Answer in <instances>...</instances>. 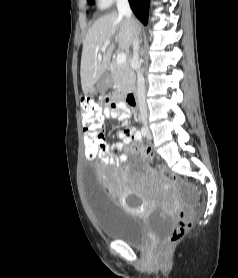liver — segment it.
Instances as JSON below:
<instances>
[{
  "label": "liver",
  "instance_id": "obj_1",
  "mask_svg": "<svg viewBox=\"0 0 238 278\" xmlns=\"http://www.w3.org/2000/svg\"><path fill=\"white\" fill-rule=\"evenodd\" d=\"M139 31L137 20L125 19L116 12L104 15L94 22L83 41L80 76L84 94L93 92L94 85L109 66L115 45L112 42L102 55L100 49L104 43L115 40L119 50L128 52L133 37Z\"/></svg>",
  "mask_w": 238,
  "mask_h": 278
}]
</instances>
